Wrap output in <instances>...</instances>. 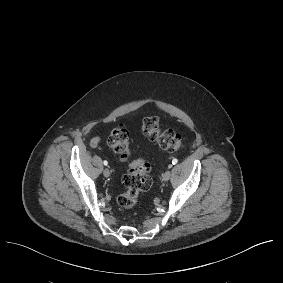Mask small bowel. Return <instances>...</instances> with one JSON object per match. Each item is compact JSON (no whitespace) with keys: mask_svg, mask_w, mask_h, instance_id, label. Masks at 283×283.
Here are the masks:
<instances>
[{"mask_svg":"<svg viewBox=\"0 0 283 283\" xmlns=\"http://www.w3.org/2000/svg\"><path fill=\"white\" fill-rule=\"evenodd\" d=\"M99 143H100V138L99 137H95L91 141V146L92 147H97Z\"/></svg>","mask_w":283,"mask_h":283,"instance_id":"obj_1","label":"small bowel"}]
</instances>
